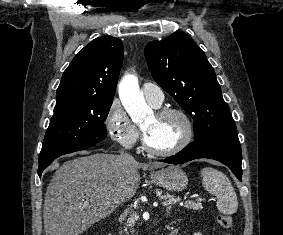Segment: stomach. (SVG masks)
Segmentation results:
<instances>
[{
  "instance_id": "1",
  "label": "stomach",
  "mask_w": 283,
  "mask_h": 235,
  "mask_svg": "<svg viewBox=\"0 0 283 235\" xmlns=\"http://www.w3.org/2000/svg\"><path fill=\"white\" fill-rule=\"evenodd\" d=\"M150 177L156 185L169 191H182L188 184L185 172L180 167L173 165L151 172Z\"/></svg>"
}]
</instances>
